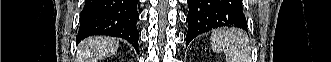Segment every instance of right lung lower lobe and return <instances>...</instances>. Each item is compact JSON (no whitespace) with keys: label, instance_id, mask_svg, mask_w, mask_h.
<instances>
[{"label":"right lung lower lobe","instance_id":"obj_1","mask_svg":"<svg viewBox=\"0 0 331 62\" xmlns=\"http://www.w3.org/2000/svg\"><path fill=\"white\" fill-rule=\"evenodd\" d=\"M139 0H85L80 15L77 43L92 35L121 37L129 41L138 52Z\"/></svg>","mask_w":331,"mask_h":62}]
</instances>
